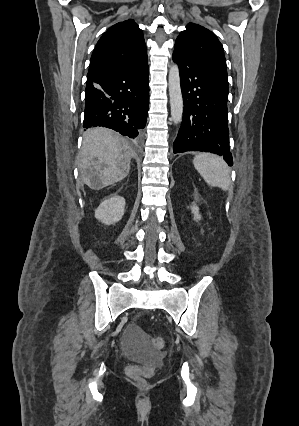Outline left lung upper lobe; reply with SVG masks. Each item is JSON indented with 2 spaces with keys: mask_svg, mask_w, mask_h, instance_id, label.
<instances>
[{
  "mask_svg": "<svg viewBox=\"0 0 299 426\" xmlns=\"http://www.w3.org/2000/svg\"><path fill=\"white\" fill-rule=\"evenodd\" d=\"M192 63L207 69L228 87L226 60L216 35L198 24L189 23L175 42V49Z\"/></svg>",
  "mask_w": 299,
  "mask_h": 426,
  "instance_id": "5c2ea615",
  "label": "left lung upper lobe"
}]
</instances>
